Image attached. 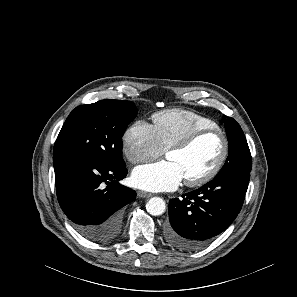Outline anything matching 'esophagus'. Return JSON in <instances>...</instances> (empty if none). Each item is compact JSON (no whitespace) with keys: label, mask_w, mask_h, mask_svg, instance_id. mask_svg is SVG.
<instances>
[{"label":"esophagus","mask_w":297,"mask_h":297,"mask_svg":"<svg viewBox=\"0 0 297 297\" xmlns=\"http://www.w3.org/2000/svg\"><path fill=\"white\" fill-rule=\"evenodd\" d=\"M137 196L140 197V198H148V197H151L152 194L148 193V192H145V191H138Z\"/></svg>","instance_id":"34e87169"}]
</instances>
